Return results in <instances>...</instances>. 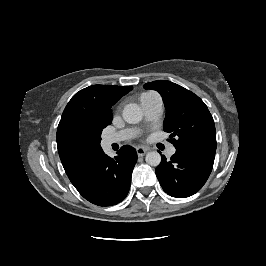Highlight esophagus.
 <instances>
[{
    "label": "esophagus",
    "instance_id": "obj_1",
    "mask_svg": "<svg viewBox=\"0 0 266 266\" xmlns=\"http://www.w3.org/2000/svg\"><path fill=\"white\" fill-rule=\"evenodd\" d=\"M147 151H148V149L144 148V147H137L136 148L137 155L140 157L144 156Z\"/></svg>",
    "mask_w": 266,
    "mask_h": 266
}]
</instances>
